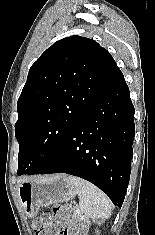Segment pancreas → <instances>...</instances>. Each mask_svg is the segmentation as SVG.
<instances>
[{"label":"pancreas","mask_w":155,"mask_h":235,"mask_svg":"<svg viewBox=\"0 0 155 235\" xmlns=\"http://www.w3.org/2000/svg\"><path fill=\"white\" fill-rule=\"evenodd\" d=\"M72 217H73V218H78V212H77V211H74Z\"/></svg>","instance_id":"obj_1"}]
</instances>
